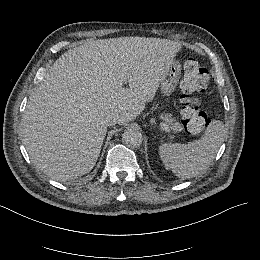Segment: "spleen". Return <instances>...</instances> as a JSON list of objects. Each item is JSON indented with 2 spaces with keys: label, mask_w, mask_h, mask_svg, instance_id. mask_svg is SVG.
Here are the masks:
<instances>
[{
  "label": "spleen",
  "mask_w": 260,
  "mask_h": 260,
  "mask_svg": "<svg viewBox=\"0 0 260 260\" xmlns=\"http://www.w3.org/2000/svg\"><path fill=\"white\" fill-rule=\"evenodd\" d=\"M225 127L222 121L213 120L204 135L188 144L164 143L159 146V155L166 169L179 178H192L204 172L224 140Z\"/></svg>",
  "instance_id": "1"
}]
</instances>
